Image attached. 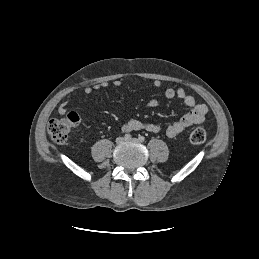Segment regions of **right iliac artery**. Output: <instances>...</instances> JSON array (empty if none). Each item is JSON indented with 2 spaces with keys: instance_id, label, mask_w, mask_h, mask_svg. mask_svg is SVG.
I'll return each instance as SVG.
<instances>
[{
  "instance_id": "right-iliac-artery-1",
  "label": "right iliac artery",
  "mask_w": 259,
  "mask_h": 259,
  "mask_svg": "<svg viewBox=\"0 0 259 259\" xmlns=\"http://www.w3.org/2000/svg\"><path fill=\"white\" fill-rule=\"evenodd\" d=\"M124 138H125L126 140H129V139H131V135H130V134H125Z\"/></svg>"
}]
</instances>
